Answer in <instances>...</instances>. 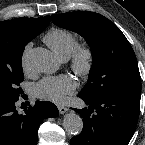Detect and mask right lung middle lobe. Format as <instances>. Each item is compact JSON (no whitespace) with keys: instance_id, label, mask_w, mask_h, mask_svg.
<instances>
[{"instance_id":"dd1d6c3e","label":"right lung middle lobe","mask_w":145,"mask_h":145,"mask_svg":"<svg viewBox=\"0 0 145 145\" xmlns=\"http://www.w3.org/2000/svg\"><path fill=\"white\" fill-rule=\"evenodd\" d=\"M23 77L22 59L10 66H0V100H18L23 93L18 88Z\"/></svg>"}]
</instances>
